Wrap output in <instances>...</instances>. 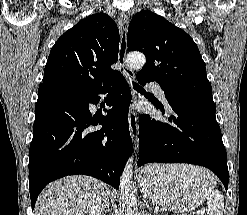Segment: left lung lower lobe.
<instances>
[{"mask_svg":"<svg viewBox=\"0 0 247 215\" xmlns=\"http://www.w3.org/2000/svg\"><path fill=\"white\" fill-rule=\"evenodd\" d=\"M137 80L143 86L152 81L139 73ZM167 101L174 112L168 117L170 123L146 114L140 116L137 166L151 162L204 166L220 178L227 190V155L214 103L182 98Z\"/></svg>","mask_w":247,"mask_h":215,"instance_id":"1","label":"left lung lower lobe"}]
</instances>
